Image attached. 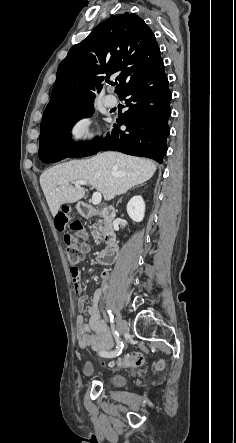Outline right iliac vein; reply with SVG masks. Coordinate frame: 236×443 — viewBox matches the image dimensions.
<instances>
[{
  "label": "right iliac vein",
  "instance_id": "63e3f726",
  "mask_svg": "<svg viewBox=\"0 0 236 443\" xmlns=\"http://www.w3.org/2000/svg\"><path fill=\"white\" fill-rule=\"evenodd\" d=\"M126 326H127L126 321L122 318H119L117 321V326H116L118 333L122 334L125 331Z\"/></svg>",
  "mask_w": 236,
  "mask_h": 443
}]
</instances>
